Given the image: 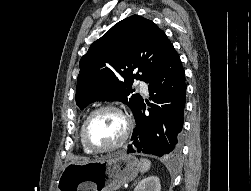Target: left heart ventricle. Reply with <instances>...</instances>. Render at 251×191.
Returning a JSON list of instances; mask_svg holds the SVG:
<instances>
[{
    "instance_id": "1",
    "label": "left heart ventricle",
    "mask_w": 251,
    "mask_h": 191,
    "mask_svg": "<svg viewBox=\"0 0 251 191\" xmlns=\"http://www.w3.org/2000/svg\"><path fill=\"white\" fill-rule=\"evenodd\" d=\"M123 122L113 111L95 114L86 128V140L94 149H105L117 143L122 136Z\"/></svg>"
}]
</instances>
